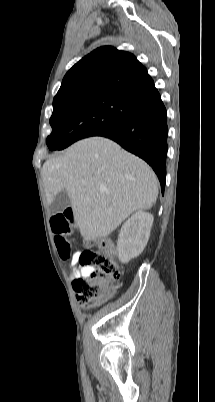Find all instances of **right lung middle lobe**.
<instances>
[{
    "mask_svg": "<svg viewBox=\"0 0 215 402\" xmlns=\"http://www.w3.org/2000/svg\"><path fill=\"white\" fill-rule=\"evenodd\" d=\"M138 105L107 93L53 100L52 133L47 138V145L50 150H62L80 139L109 132L123 123Z\"/></svg>",
    "mask_w": 215,
    "mask_h": 402,
    "instance_id": "obj_1",
    "label": "right lung middle lobe"
}]
</instances>
